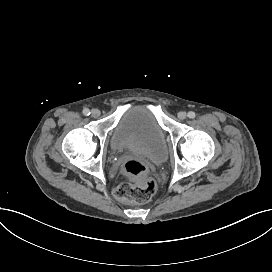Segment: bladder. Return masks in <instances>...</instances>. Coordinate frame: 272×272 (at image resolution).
<instances>
[{
  "mask_svg": "<svg viewBox=\"0 0 272 272\" xmlns=\"http://www.w3.org/2000/svg\"><path fill=\"white\" fill-rule=\"evenodd\" d=\"M165 131L152 106H129L119 115L109 136L114 154L132 150L153 163L167 158Z\"/></svg>",
  "mask_w": 272,
  "mask_h": 272,
  "instance_id": "31cf9c89",
  "label": "bladder"
}]
</instances>
